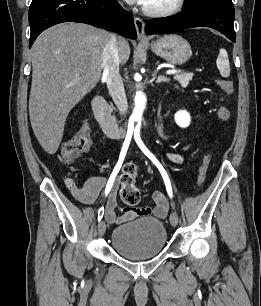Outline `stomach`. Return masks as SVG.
Here are the masks:
<instances>
[{"mask_svg": "<svg viewBox=\"0 0 261 306\" xmlns=\"http://www.w3.org/2000/svg\"><path fill=\"white\" fill-rule=\"evenodd\" d=\"M152 51L173 65L186 63L192 55L188 41L176 34L165 35L151 44Z\"/></svg>", "mask_w": 261, "mask_h": 306, "instance_id": "stomach-1", "label": "stomach"}]
</instances>
